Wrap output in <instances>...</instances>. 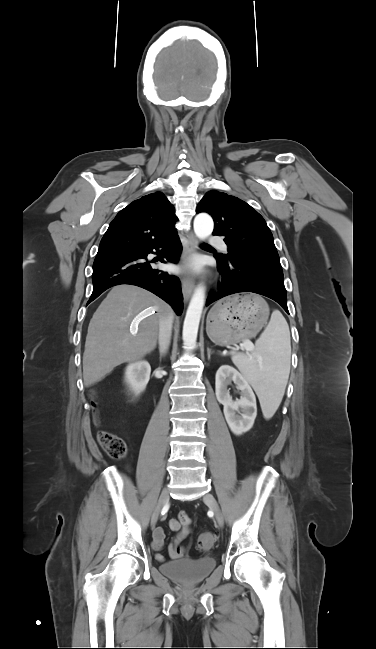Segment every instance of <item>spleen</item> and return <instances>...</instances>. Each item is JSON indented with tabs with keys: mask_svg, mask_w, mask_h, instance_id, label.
I'll return each mask as SVG.
<instances>
[{
	"mask_svg": "<svg viewBox=\"0 0 376 649\" xmlns=\"http://www.w3.org/2000/svg\"><path fill=\"white\" fill-rule=\"evenodd\" d=\"M291 342L289 326L279 310L255 343V353L232 355L234 365L259 396L265 418H271L284 396L290 373Z\"/></svg>",
	"mask_w": 376,
	"mask_h": 649,
	"instance_id": "spleen-1",
	"label": "spleen"
}]
</instances>
